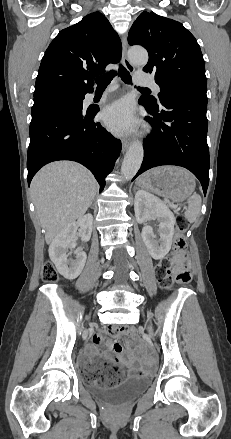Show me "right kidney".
I'll list each match as a JSON object with an SVG mask.
<instances>
[{"label":"right kidney","mask_w":231,"mask_h":439,"mask_svg":"<svg viewBox=\"0 0 231 439\" xmlns=\"http://www.w3.org/2000/svg\"><path fill=\"white\" fill-rule=\"evenodd\" d=\"M93 217L86 214L80 217L77 222L66 226L55 237L49 247V257L55 264L58 272L66 279L73 280L82 272L87 255L81 248L76 247V233L78 228L82 229L81 239L87 242L91 237ZM69 250L74 252V259L68 258Z\"/></svg>","instance_id":"obj_1"}]
</instances>
